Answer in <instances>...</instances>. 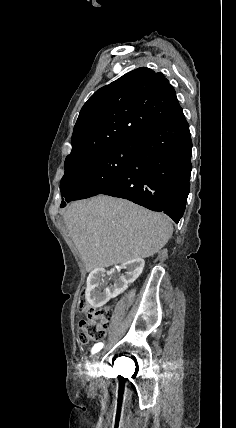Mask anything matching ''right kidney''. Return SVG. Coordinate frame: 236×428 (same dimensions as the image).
Masks as SVG:
<instances>
[{"mask_svg": "<svg viewBox=\"0 0 236 428\" xmlns=\"http://www.w3.org/2000/svg\"><path fill=\"white\" fill-rule=\"evenodd\" d=\"M145 262L143 258H134L129 262H124L120 268H126V270L119 271V280L116 283H97L95 278H107V269H91L90 274L87 278L86 288V300L94 306V308H100L104 306L106 302L111 301L112 298H116L118 294H122L127 290L129 284H133L140 274L143 272ZM95 290L96 292H93ZM91 292H93L91 294Z\"/></svg>", "mask_w": 236, "mask_h": 428, "instance_id": "1", "label": "right kidney"}]
</instances>
